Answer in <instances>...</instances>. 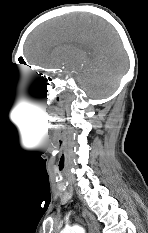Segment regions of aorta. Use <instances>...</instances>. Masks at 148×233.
<instances>
[{"label": "aorta", "mask_w": 148, "mask_h": 233, "mask_svg": "<svg viewBox=\"0 0 148 233\" xmlns=\"http://www.w3.org/2000/svg\"><path fill=\"white\" fill-rule=\"evenodd\" d=\"M61 233H85V230L80 226H72L65 228Z\"/></svg>", "instance_id": "aorta-1"}]
</instances>
